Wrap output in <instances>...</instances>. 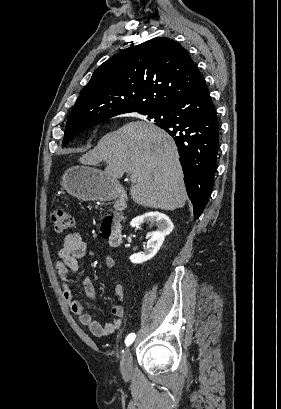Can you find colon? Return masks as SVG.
<instances>
[{"mask_svg":"<svg viewBox=\"0 0 281 409\" xmlns=\"http://www.w3.org/2000/svg\"><path fill=\"white\" fill-rule=\"evenodd\" d=\"M52 221L58 234L66 233L74 224L71 214L63 209H56L52 212Z\"/></svg>","mask_w":281,"mask_h":409,"instance_id":"obj_1","label":"colon"}]
</instances>
